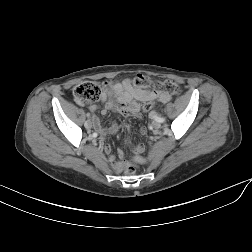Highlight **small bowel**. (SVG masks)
I'll return each mask as SVG.
<instances>
[{
    "instance_id": "1",
    "label": "small bowel",
    "mask_w": 252,
    "mask_h": 252,
    "mask_svg": "<svg viewBox=\"0 0 252 252\" xmlns=\"http://www.w3.org/2000/svg\"><path fill=\"white\" fill-rule=\"evenodd\" d=\"M104 94L102 101L104 103L102 108V114H106L109 111H117L122 113L125 116L138 115L141 111V103L154 105L155 101H160L162 103H167L171 101V95L165 93H156L149 90H141L137 88L132 80L124 79L121 82L113 83L110 80H106L103 83ZM78 104H83V102L77 100ZM90 112L93 114V127L98 131L101 136H105L107 132L116 133L119 130L117 123H113L108 130L101 127V120L94 113L97 110L96 105L90 106ZM147 130L141 128L140 134L145 136ZM144 146L138 145L136 151L138 153L143 152ZM105 153L109 156V160L112 162L113 169L116 172H122L126 162L123 159V153L119 152V157L116 159L111 155L110 145H106L104 148ZM139 162H143V159L137 157Z\"/></svg>"
}]
</instances>
